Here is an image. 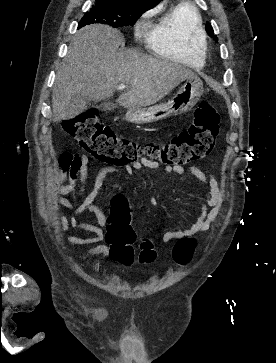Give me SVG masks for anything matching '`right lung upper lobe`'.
<instances>
[{
    "mask_svg": "<svg viewBox=\"0 0 276 363\" xmlns=\"http://www.w3.org/2000/svg\"><path fill=\"white\" fill-rule=\"evenodd\" d=\"M97 1H108L120 4H147L151 7L157 5L161 0H97Z\"/></svg>",
    "mask_w": 276,
    "mask_h": 363,
    "instance_id": "right-lung-upper-lobe-1",
    "label": "right lung upper lobe"
}]
</instances>
